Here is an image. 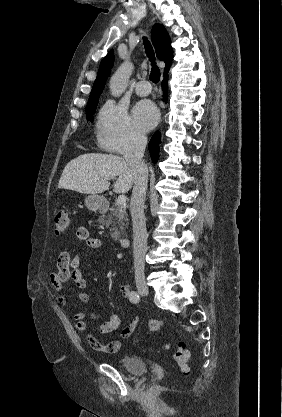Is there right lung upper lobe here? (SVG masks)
Returning a JSON list of instances; mask_svg holds the SVG:
<instances>
[{
	"label": "right lung upper lobe",
	"instance_id": "1",
	"mask_svg": "<svg viewBox=\"0 0 282 417\" xmlns=\"http://www.w3.org/2000/svg\"><path fill=\"white\" fill-rule=\"evenodd\" d=\"M152 42L156 48V53L158 59L165 62L166 67L165 71L169 70L170 65L172 64L173 60V50L171 47V40L170 37L164 28L163 25L155 24L152 29ZM114 64V53L113 50H110L107 56L102 60L99 71L97 74V78L94 82L91 96L100 95L104 89L105 81L109 76L111 68Z\"/></svg>",
	"mask_w": 282,
	"mask_h": 417
}]
</instances>
